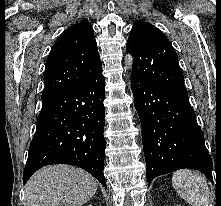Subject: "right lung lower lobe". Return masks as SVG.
<instances>
[{"label": "right lung lower lobe", "instance_id": "98d812e1", "mask_svg": "<svg viewBox=\"0 0 221 206\" xmlns=\"http://www.w3.org/2000/svg\"><path fill=\"white\" fill-rule=\"evenodd\" d=\"M105 79L102 70L79 85L42 99L23 183L45 165L78 166L104 187Z\"/></svg>", "mask_w": 221, "mask_h": 206}]
</instances>
